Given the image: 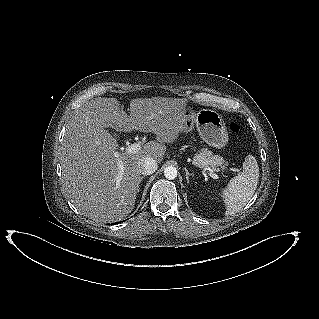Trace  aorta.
<instances>
[{
    "mask_svg": "<svg viewBox=\"0 0 319 319\" xmlns=\"http://www.w3.org/2000/svg\"><path fill=\"white\" fill-rule=\"evenodd\" d=\"M164 176L169 179L173 180L177 177V169L174 166H168L164 169Z\"/></svg>",
    "mask_w": 319,
    "mask_h": 319,
    "instance_id": "obj_1",
    "label": "aorta"
}]
</instances>
